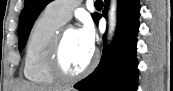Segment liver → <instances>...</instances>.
Here are the masks:
<instances>
[{
	"mask_svg": "<svg viewBox=\"0 0 173 91\" xmlns=\"http://www.w3.org/2000/svg\"><path fill=\"white\" fill-rule=\"evenodd\" d=\"M13 91H61V89L54 87H43L30 84L28 82L19 83L14 87ZM69 91V90H67Z\"/></svg>",
	"mask_w": 173,
	"mask_h": 91,
	"instance_id": "1",
	"label": "liver"
}]
</instances>
